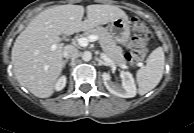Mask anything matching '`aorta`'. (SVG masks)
Returning <instances> with one entry per match:
<instances>
[{
	"label": "aorta",
	"instance_id": "obj_1",
	"mask_svg": "<svg viewBox=\"0 0 194 133\" xmlns=\"http://www.w3.org/2000/svg\"><path fill=\"white\" fill-rule=\"evenodd\" d=\"M82 59L85 61V62H88L92 59V53L90 51H85L83 54H82Z\"/></svg>",
	"mask_w": 194,
	"mask_h": 133
}]
</instances>
